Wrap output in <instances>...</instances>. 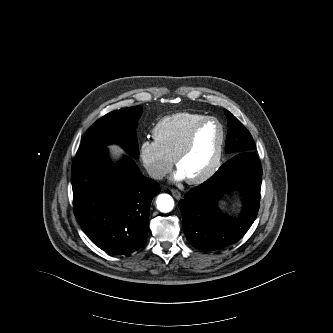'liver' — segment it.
<instances>
[{
  "instance_id": "6515ba94",
  "label": "liver",
  "mask_w": 333,
  "mask_h": 333,
  "mask_svg": "<svg viewBox=\"0 0 333 333\" xmlns=\"http://www.w3.org/2000/svg\"><path fill=\"white\" fill-rule=\"evenodd\" d=\"M109 149L116 156H119L121 153H123L122 148L119 147L118 145H110Z\"/></svg>"
}]
</instances>
